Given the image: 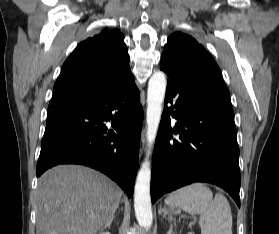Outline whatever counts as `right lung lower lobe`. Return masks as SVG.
<instances>
[{
    "instance_id": "1",
    "label": "right lung lower lobe",
    "mask_w": 279,
    "mask_h": 234,
    "mask_svg": "<svg viewBox=\"0 0 279 234\" xmlns=\"http://www.w3.org/2000/svg\"><path fill=\"white\" fill-rule=\"evenodd\" d=\"M142 122L133 75L88 99L49 108L37 176L58 164L86 165L108 175L132 197Z\"/></svg>"
}]
</instances>
